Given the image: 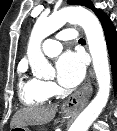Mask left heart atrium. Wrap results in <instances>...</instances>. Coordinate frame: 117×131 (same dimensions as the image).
I'll use <instances>...</instances> for the list:
<instances>
[{"label":"left heart atrium","instance_id":"39dd6f15","mask_svg":"<svg viewBox=\"0 0 117 131\" xmlns=\"http://www.w3.org/2000/svg\"><path fill=\"white\" fill-rule=\"evenodd\" d=\"M59 83L66 88L77 86L85 75V62L81 54L64 53L56 63Z\"/></svg>","mask_w":117,"mask_h":131}]
</instances>
